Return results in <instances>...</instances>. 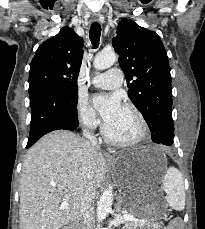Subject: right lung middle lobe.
<instances>
[{
	"mask_svg": "<svg viewBox=\"0 0 205 229\" xmlns=\"http://www.w3.org/2000/svg\"><path fill=\"white\" fill-rule=\"evenodd\" d=\"M65 89L71 92L74 96L78 97V88L76 84H68Z\"/></svg>",
	"mask_w": 205,
	"mask_h": 229,
	"instance_id": "obj_1",
	"label": "right lung middle lobe"
}]
</instances>
